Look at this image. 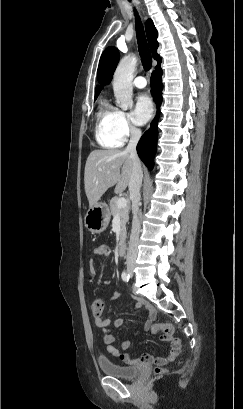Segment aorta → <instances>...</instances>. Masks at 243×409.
<instances>
[{
    "mask_svg": "<svg viewBox=\"0 0 243 409\" xmlns=\"http://www.w3.org/2000/svg\"><path fill=\"white\" fill-rule=\"evenodd\" d=\"M137 65L134 55L125 56L118 64L113 76L116 104L123 110L133 106V73Z\"/></svg>",
    "mask_w": 243,
    "mask_h": 409,
    "instance_id": "aorta-1",
    "label": "aorta"
}]
</instances>
